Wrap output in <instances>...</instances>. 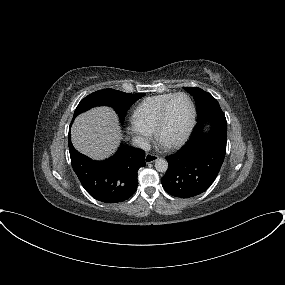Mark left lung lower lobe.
Instances as JSON below:
<instances>
[{
    "label": "left lung lower lobe",
    "instance_id": "0a47b994",
    "mask_svg": "<svg viewBox=\"0 0 285 285\" xmlns=\"http://www.w3.org/2000/svg\"><path fill=\"white\" fill-rule=\"evenodd\" d=\"M206 124L211 126L204 132ZM227 121L221 108L208 110L197 119L186 145L167 156L169 168L161 178L167 193L190 198L205 192L217 177L226 153Z\"/></svg>",
    "mask_w": 285,
    "mask_h": 285
}]
</instances>
